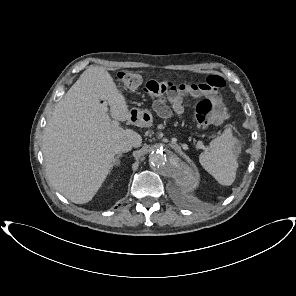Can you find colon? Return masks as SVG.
Listing matches in <instances>:
<instances>
[{"instance_id": "obj_1", "label": "colon", "mask_w": 296, "mask_h": 296, "mask_svg": "<svg viewBox=\"0 0 296 296\" xmlns=\"http://www.w3.org/2000/svg\"><path fill=\"white\" fill-rule=\"evenodd\" d=\"M116 80L118 86L124 91H133L142 85V77L137 72L121 71L117 74ZM191 83L183 82L179 87L186 89L191 87ZM157 90V87L153 88ZM225 111L217 99L204 98L196 106V120L202 130H207L211 124L223 120Z\"/></svg>"}]
</instances>
